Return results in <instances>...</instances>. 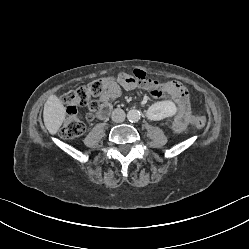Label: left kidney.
Wrapping results in <instances>:
<instances>
[{
	"label": "left kidney",
	"mask_w": 249,
	"mask_h": 249,
	"mask_svg": "<svg viewBox=\"0 0 249 249\" xmlns=\"http://www.w3.org/2000/svg\"><path fill=\"white\" fill-rule=\"evenodd\" d=\"M177 104V103H176ZM176 104L173 100L159 101L147 112L146 118H154L155 121H162L176 112Z\"/></svg>",
	"instance_id": "1"
}]
</instances>
